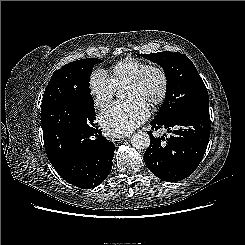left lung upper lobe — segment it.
I'll list each match as a JSON object with an SVG mask.
<instances>
[{"label":"left lung upper lobe","instance_id":"1","mask_svg":"<svg viewBox=\"0 0 245 245\" xmlns=\"http://www.w3.org/2000/svg\"><path fill=\"white\" fill-rule=\"evenodd\" d=\"M141 56L162 66L167 78L166 97L154 120L167 122L191 107L209 105L206 86L186 55L165 51Z\"/></svg>","mask_w":245,"mask_h":245}]
</instances>
